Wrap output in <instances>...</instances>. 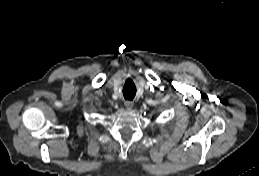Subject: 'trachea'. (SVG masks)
Returning <instances> with one entry per match:
<instances>
[{
    "mask_svg": "<svg viewBox=\"0 0 259 176\" xmlns=\"http://www.w3.org/2000/svg\"><path fill=\"white\" fill-rule=\"evenodd\" d=\"M136 94V87L134 84H126L123 88V95L126 100H132Z\"/></svg>",
    "mask_w": 259,
    "mask_h": 176,
    "instance_id": "3493384b",
    "label": "trachea"
}]
</instances>
